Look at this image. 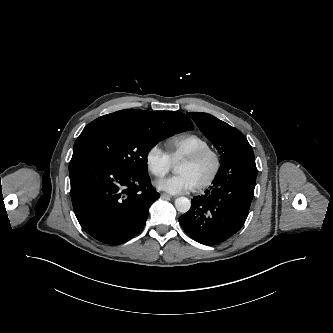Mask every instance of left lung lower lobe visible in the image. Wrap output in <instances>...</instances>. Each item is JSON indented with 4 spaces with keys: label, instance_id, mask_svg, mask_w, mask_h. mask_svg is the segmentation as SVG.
<instances>
[{
    "label": "left lung lower lobe",
    "instance_id": "0a47b994",
    "mask_svg": "<svg viewBox=\"0 0 333 333\" xmlns=\"http://www.w3.org/2000/svg\"><path fill=\"white\" fill-rule=\"evenodd\" d=\"M256 177L252 147L232 153L222 162L211 189L194 197L190 210L179 217L183 230L205 245L230 238L246 221Z\"/></svg>",
    "mask_w": 333,
    "mask_h": 333
}]
</instances>
